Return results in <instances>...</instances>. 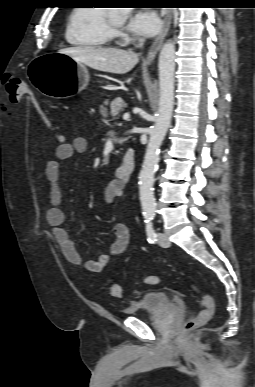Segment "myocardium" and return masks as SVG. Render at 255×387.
<instances>
[{"label": "myocardium", "mask_w": 255, "mask_h": 387, "mask_svg": "<svg viewBox=\"0 0 255 387\" xmlns=\"http://www.w3.org/2000/svg\"><path fill=\"white\" fill-rule=\"evenodd\" d=\"M106 24H107V27H108L110 33L112 34V36H116L119 33V27H117L113 24V22L108 14L106 17Z\"/></svg>", "instance_id": "f54148a6"}]
</instances>
